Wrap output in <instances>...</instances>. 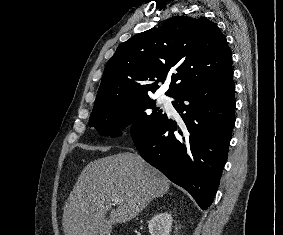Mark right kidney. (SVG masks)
Returning <instances> with one entry per match:
<instances>
[{
  "label": "right kidney",
  "instance_id": "1",
  "mask_svg": "<svg viewBox=\"0 0 283 235\" xmlns=\"http://www.w3.org/2000/svg\"><path fill=\"white\" fill-rule=\"evenodd\" d=\"M172 221V216L168 212L155 215L148 222L149 233L151 235H169Z\"/></svg>",
  "mask_w": 283,
  "mask_h": 235
}]
</instances>
